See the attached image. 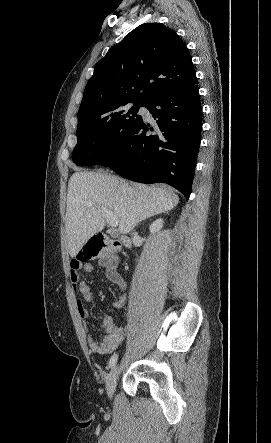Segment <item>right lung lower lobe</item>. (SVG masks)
I'll return each instance as SVG.
<instances>
[{"mask_svg":"<svg viewBox=\"0 0 271 443\" xmlns=\"http://www.w3.org/2000/svg\"><path fill=\"white\" fill-rule=\"evenodd\" d=\"M146 108L157 119L155 133L147 134L153 128L142 121L103 165L136 182L167 183L188 199L202 128L197 79L160 93Z\"/></svg>","mask_w":271,"mask_h":443,"instance_id":"98d812e1","label":"right lung lower lobe"}]
</instances>
